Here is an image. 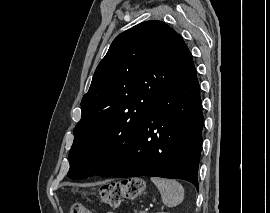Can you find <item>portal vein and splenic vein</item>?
Wrapping results in <instances>:
<instances>
[{
  "label": "portal vein and splenic vein",
  "instance_id": "obj_1",
  "mask_svg": "<svg viewBox=\"0 0 270 213\" xmlns=\"http://www.w3.org/2000/svg\"><path fill=\"white\" fill-rule=\"evenodd\" d=\"M148 208H146L144 211L140 212V213H147Z\"/></svg>",
  "mask_w": 270,
  "mask_h": 213
}]
</instances>
